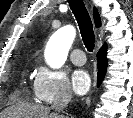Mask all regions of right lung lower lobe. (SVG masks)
<instances>
[{"label":"right lung lower lobe","instance_id":"98d812e1","mask_svg":"<svg viewBox=\"0 0 133 118\" xmlns=\"http://www.w3.org/2000/svg\"><path fill=\"white\" fill-rule=\"evenodd\" d=\"M106 51H107V46L104 44L97 54V60H98L97 85L98 86L102 83L106 73V69H107Z\"/></svg>","mask_w":133,"mask_h":118}]
</instances>
